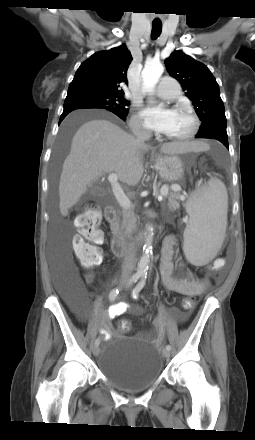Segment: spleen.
I'll list each match as a JSON object with an SVG mask.
<instances>
[{
    "instance_id": "3e777b00",
    "label": "spleen",
    "mask_w": 255,
    "mask_h": 440,
    "mask_svg": "<svg viewBox=\"0 0 255 440\" xmlns=\"http://www.w3.org/2000/svg\"><path fill=\"white\" fill-rule=\"evenodd\" d=\"M227 209L226 187L218 179H211L191 195L186 203L190 219L183 250L192 264H207L217 254L226 231Z\"/></svg>"
}]
</instances>
